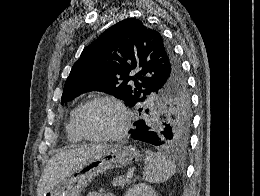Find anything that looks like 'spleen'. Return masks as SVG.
<instances>
[{
    "instance_id": "1",
    "label": "spleen",
    "mask_w": 260,
    "mask_h": 196,
    "mask_svg": "<svg viewBox=\"0 0 260 196\" xmlns=\"http://www.w3.org/2000/svg\"><path fill=\"white\" fill-rule=\"evenodd\" d=\"M176 174V164L163 154H155L151 150L145 152V168L143 180L149 184H163Z\"/></svg>"
}]
</instances>
